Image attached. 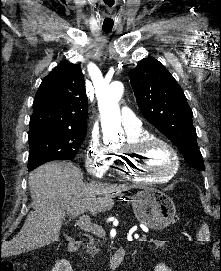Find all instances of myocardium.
<instances>
[{
	"label": "myocardium",
	"mask_w": 221,
	"mask_h": 271,
	"mask_svg": "<svg viewBox=\"0 0 221 271\" xmlns=\"http://www.w3.org/2000/svg\"><path fill=\"white\" fill-rule=\"evenodd\" d=\"M168 138L151 137L146 140H138V145H125V150H130L132 158H121L119 161H115L113 164L116 168L125 173L126 178H134L141 175L143 178H157L162 175H178L181 170L178 169L177 157L173 156L175 150L173 145H168ZM154 150H165L164 157L168 158L166 162H162L160 165H148L143 162L146 155H154ZM173 170V171H172ZM161 184V183H153Z\"/></svg>",
	"instance_id": "1"
}]
</instances>
